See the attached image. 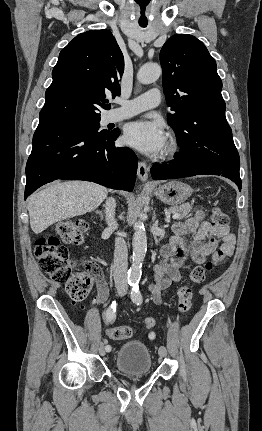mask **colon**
I'll list each match as a JSON object with an SVG mask.
<instances>
[{"instance_id": "colon-1", "label": "colon", "mask_w": 262, "mask_h": 431, "mask_svg": "<svg viewBox=\"0 0 262 431\" xmlns=\"http://www.w3.org/2000/svg\"><path fill=\"white\" fill-rule=\"evenodd\" d=\"M210 223L214 227H222L228 224L227 215L219 208H213L210 212ZM83 225L76 221H66L58 224L55 234L40 236L34 247V255L44 274L53 281L65 283L69 297L80 302L89 295L94 276L99 270L90 259H84L80 265L83 271L73 270V261L65 244H79L82 241ZM224 254L220 252L218 259L222 260ZM213 263L206 262L204 265L196 266L189 275V282L179 287L177 291L178 309L181 313L191 310L192 288L191 285L201 284L206 274L212 269ZM146 329L155 326V320L147 317L144 321ZM133 335L131 326H117L108 330V336L112 340L121 341Z\"/></svg>"}]
</instances>
